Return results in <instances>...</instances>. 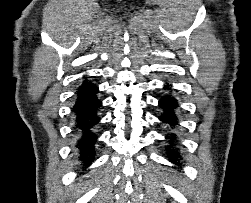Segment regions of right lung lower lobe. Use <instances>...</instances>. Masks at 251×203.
Segmentation results:
<instances>
[{"mask_svg":"<svg viewBox=\"0 0 251 203\" xmlns=\"http://www.w3.org/2000/svg\"><path fill=\"white\" fill-rule=\"evenodd\" d=\"M98 87L87 78L78 87L72 107L73 131L77 136L76 148L84 166H89L95 157L97 135L95 129L100 121L101 100L97 97Z\"/></svg>","mask_w":251,"mask_h":203,"instance_id":"right-lung-lower-lobe-1","label":"right lung lower lobe"}]
</instances>
